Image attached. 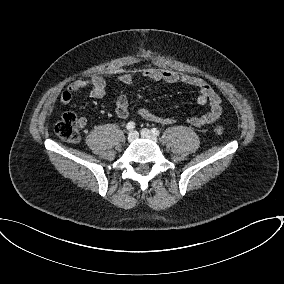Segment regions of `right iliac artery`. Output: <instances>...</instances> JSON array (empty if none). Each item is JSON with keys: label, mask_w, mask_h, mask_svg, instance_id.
I'll use <instances>...</instances> for the list:
<instances>
[{"label": "right iliac artery", "mask_w": 284, "mask_h": 284, "mask_svg": "<svg viewBox=\"0 0 284 284\" xmlns=\"http://www.w3.org/2000/svg\"><path fill=\"white\" fill-rule=\"evenodd\" d=\"M128 130H133L135 128V123L134 122H129L126 126Z\"/></svg>", "instance_id": "obj_1"}]
</instances>
